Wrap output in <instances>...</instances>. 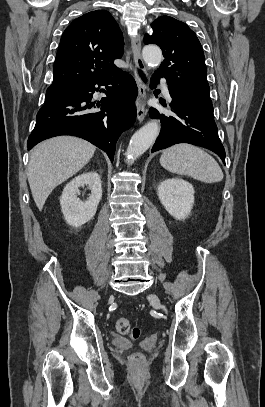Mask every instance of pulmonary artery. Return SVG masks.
<instances>
[{"label":"pulmonary artery","mask_w":265,"mask_h":407,"mask_svg":"<svg viewBox=\"0 0 265 407\" xmlns=\"http://www.w3.org/2000/svg\"><path fill=\"white\" fill-rule=\"evenodd\" d=\"M163 92H164V94H165V96H166L167 98L170 97V95H169V90H168V87H167L166 84L163 85Z\"/></svg>","instance_id":"obj_1"}]
</instances>
